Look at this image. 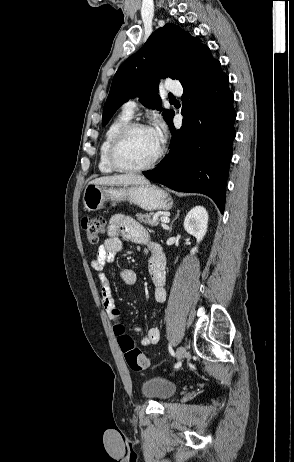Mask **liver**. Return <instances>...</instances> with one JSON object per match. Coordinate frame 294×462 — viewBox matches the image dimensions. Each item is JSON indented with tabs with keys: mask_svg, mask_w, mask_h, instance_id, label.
I'll list each match as a JSON object with an SVG mask.
<instances>
[{
	"mask_svg": "<svg viewBox=\"0 0 294 462\" xmlns=\"http://www.w3.org/2000/svg\"><path fill=\"white\" fill-rule=\"evenodd\" d=\"M90 184L95 185H141L149 184V181L141 176L136 174H124V175H115V176H105L92 180Z\"/></svg>",
	"mask_w": 294,
	"mask_h": 462,
	"instance_id": "6515ba94",
	"label": "liver"
}]
</instances>
